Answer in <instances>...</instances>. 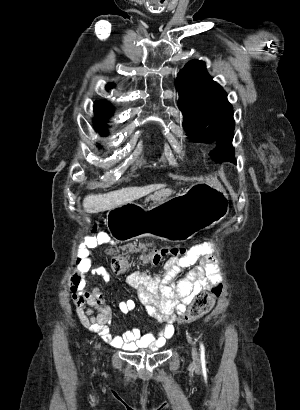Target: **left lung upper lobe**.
<instances>
[{
	"instance_id": "obj_1",
	"label": "left lung upper lobe",
	"mask_w": 300,
	"mask_h": 410,
	"mask_svg": "<svg viewBox=\"0 0 300 410\" xmlns=\"http://www.w3.org/2000/svg\"><path fill=\"white\" fill-rule=\"evenodd\" d=\"M178 106L184 114L183 126L193 142L209 143L216 139L210 155L216 161L236 163L232 140V105L222 87L206 71L203 61H190L178 74Z\"/></svg>"
}]
</instances>
